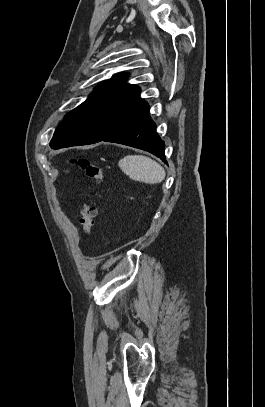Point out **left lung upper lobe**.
<instances>
[{"mask_svg":"<svg viewBox=\"0 0 265 407\" xmlns=\"http://www.w3.org/2000/svg\"><path fill=\"white\" fill-rule=\"evenodd\" d=\"M120 74L97 86L77 108L58 125L50 142L52 149L93 144L141 118L149 105L140 98V88L125 82Z\"/></svg>","mask_w":265,"mask_h":407,"instance_id":"1","label":"left lung upper lobe"}]
</instances>
